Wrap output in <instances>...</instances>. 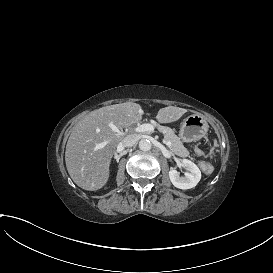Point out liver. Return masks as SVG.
Masks as SVG:
<instances>
[{
	"instance_id": "obj_1",
	"label": "liver",
	"mask_w": 273,
	"mask_h": 273,
	"mask_svg": "<svg viewBox=\"0 0 273 273\" xmlns=\"http://www.w3.org/2000/svg\"><path fill=\"white\" fill-rule=\"evenodd\" d=\"M186 112L184 108L168 106L158 111L156 119L170 123ZM143 113L139 104L126 102L91 111L78 122L67 141L65 162L70 177L79 187L95 191L106 184L111 158L123 140L109 125L126 128L140 121ZM104 141L107 145L96 149Z\"/></svg>"
}]
</instances>
